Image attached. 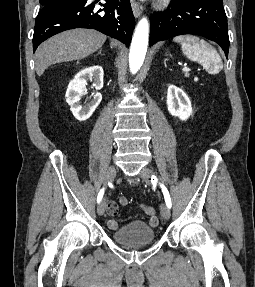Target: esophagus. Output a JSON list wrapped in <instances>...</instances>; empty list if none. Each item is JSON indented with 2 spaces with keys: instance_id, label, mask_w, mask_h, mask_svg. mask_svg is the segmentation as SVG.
<instances>
[{
  "instance_id": "esophagus-1",
  "label": "esophagus",
  "mask_w": 255,
  "mask_h": 287,
  "mask_svg": "<svg viewBox=\"0 0 255 287\" xmlns=\"http://www.w3.org/2000/svg\"><path fill=\"white\" fill-rule=\"evenodd\" d=\"M130 2L133 10V15L138 18L142 13V9L139 7V4L136 2V0H130Z\"/></svg>"
}]
</instances>
